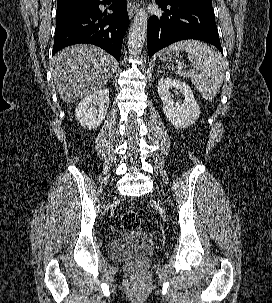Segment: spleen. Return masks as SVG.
I'll list each match as a JSON object with an SVG mask.
<instances>
[{"instance_id":"obj_1","label":"spleen","mask_w":272,"mask_h":303,"mask_svg":"<svg viewBox=\"0 0 272 303\" xmlns=\"http://www.w3.org/2000/svg\"><path fill=\"white\" fill-rule=\"evenodd\" d=\"M178 50H185L188 53V60L194 65L196 72L195 69L184 71L179 66L177 74L190 78L201 96L207 101L212 100L224 79V61L221 56L209 45L198 40L180 41L167 48V51Z\"/></svg>"}]
</instances>
